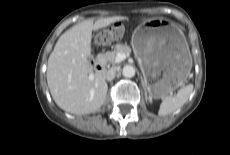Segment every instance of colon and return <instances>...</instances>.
Wrapping results in <instances>:
<instances>
[{
  "instance_id": "obj_1",
  "label": "colon",
  "mask_w": 230,
  "mask_h": 155,
  "mask_svg": "<svg viewBox=\"0 0 230 155\" xmlns=\"http://www.w3.org/2000/svg\"><path fill=\"white\" fill-rule=\"evenodd\" d=\"M125 25L122 22H115L108 27V31H104L97 36L99 44L104 45L113 40H121L124 37Z\"/></svg>"
}]
</instances>
